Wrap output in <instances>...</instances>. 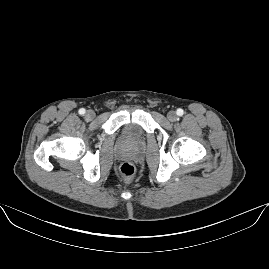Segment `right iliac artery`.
<instances>
[{
	"label": "right iliac artery",
	"mask_w": 269,
	"mask_h": 269,
	"mask_svg": "<svg viewBox=\"0 0 269 269\" xmlns=\"http://www.w3.org/2000/svg\"><path fill=\"white\" fill-rule=\"evenodd\" d=\"M79 114H80V115H84V114H85V109H84V108H81V109L79 110Z\"/></svg>",
	"instance_id": "obj_1"
}]
</instances>
